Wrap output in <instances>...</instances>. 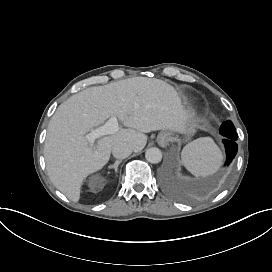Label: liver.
I'll return each instance as SVG.
<instances>
[{
    "label": "liver",
    "instance_id": "liver-1",
    "mask_svg": "<svg viewBox=\"0 0 272 272\" xmlns=\"http://www.w3.org/2000/svg\"><path fill=\"white\" fill-rule=\"evenodd\" d=\"M111 116L128 129L121 127L94 144L84 139ZM187 118L174 89L161 80L135 77L86 88L62 103L48 125L44 156L50 180L68 199L79 202L83 181L109 162L116 144L140 152L147 143L145 133L180 132Z\"/></svg>",
    "mask_w": 272,
    "mask_h": 272
}]
</instances>
